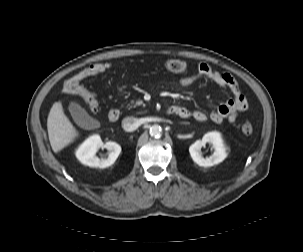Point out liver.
I'll list each match as a JSON object with an SVG mask.
<instances>
[{
    "instance_id": "6515ba94",
    "label": "liver",
    "mask_w": 303,
    "mask_h": 252,
    "mask_svg": "<svg viewBox=\"0 0 303 252\" xmlns=\"http://www.w3.org/2000/svg\"><path fill=\"white\" fill-rule=\"evenodd\" d=\"M47 129L52 150L57 153L72 143L79 133L65 115L61 102L55 103L48 115Z\"/></svg>"
}]
</instances>
